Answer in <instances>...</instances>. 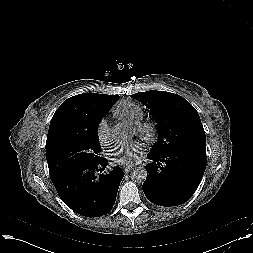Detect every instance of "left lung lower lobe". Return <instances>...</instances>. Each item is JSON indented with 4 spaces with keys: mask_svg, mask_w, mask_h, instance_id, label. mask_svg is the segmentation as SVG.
<instances>
[{
    "mask_svg": "<svg viewBox=\"0 0 253 253\" xmlns=\"http://www.w3.org/2000/svg\"><path fill=\"white\" fill-rule=\"evenodd\" d=\"M145 166L143 191L147 199L160 206L185 203L197 190L206 168V149L184 146L163 154L150 152Z\"/></svg>",
    "mask_w": 253,
    "mask_h": 253,
    "instance_id": "left-lung-lower-lobe-1",
    "label": "left lung lower lobe"
}]
</instances>
